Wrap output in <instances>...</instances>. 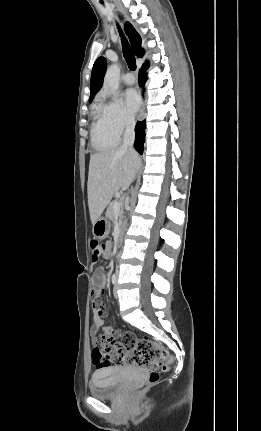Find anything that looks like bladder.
<instances>
[{"label": "bladder", "instance_id": "1", "mask_svg": "<svg viewBox=\"0 0 261 431\" xmlns=\"http://www.w3.org/2000/svg\"><path fill=\"white\" fill-rule=\"evenodd\" d=\"M125 369L109 367L96 370L89 382L90 394L98 399L115 397L123 388Z\"/></svg>", "mask_w": 261, "mask_h": 431}]
</instances>
